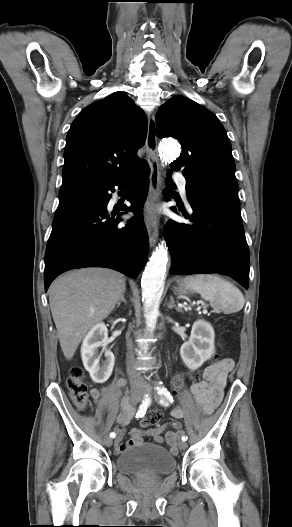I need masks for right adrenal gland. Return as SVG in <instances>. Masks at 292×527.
Here are the masks:
<instances>
[{"mask_svg": "<svg viewBox=\"0 0 292 527\" xmlns=\"http://www.w3.org/2000/svg\"><path fill=\"white\" fill-rule=\"evenodd\" d=\"M121 302H123V303H125V304L127 303L126 300H125V298H124V293L121 295V297H120L119 300L117 301V306H116L117 308L120 306Z\"/></svg>", "mask_w": 292, "mask_h": 527, "instance_id": "2a0ac1e0", "label": "right adrenal gland"}]
</instances>
